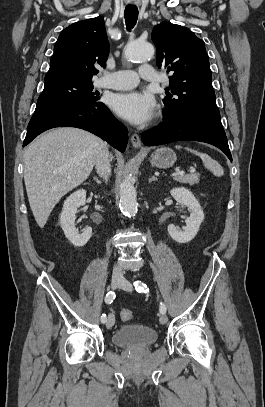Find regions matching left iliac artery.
I'll use <instances>...</instances> for the list:
<instances>
[{"label":"left iliac artery","instance_id":"1","mask_svg":"<svg viewBox=\"0 0 265 407\" xmlns=\"http://www.w3.org/2000/svg\"><path fill=\"white\" fill-rule=\"evenodd\" d=\"M134 286L137 292L139 293H147L149 292V288L147 287V285L141 281H135L134 282ZM160 313L161 314H165L166 313V306L165 304L161 303L160 304Z\"/></svg>","mask_w":265,"mask_h":407}]
</instances>
